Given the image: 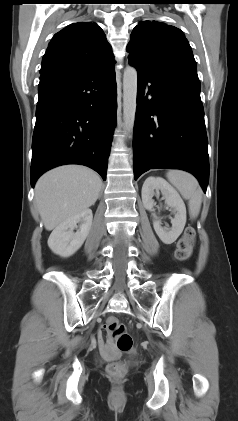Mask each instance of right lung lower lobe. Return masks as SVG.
<instances>
[{"instance_id": "right-lung-lower-lobe-1", "label": "right lung lower lobe", "mask_w": 238, "mask_h": 421, "mask_svg": "<svg viewBox=\"0 0 238 421\" xmlns=\"http://www.w3.org/2000/svg\"><path fill=\"white\" fill-rule=\"evenodd\" d=\"M114 67L42 73L32 141L31 186L47 170L82 164L106 180L116 125Z\"/></svg>"}]
</instances>
